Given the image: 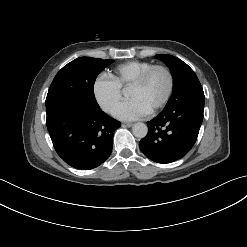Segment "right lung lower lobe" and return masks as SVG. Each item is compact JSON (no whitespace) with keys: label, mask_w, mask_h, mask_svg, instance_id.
I'll use <instances>...</instances> for the list:
<instances>
[{"label":"right lung lower lobe","mask_w":247,"mask_h":247,"mask_svg":"<svg viewBox=\"0 0 247 247\" xmlns=\"http://www.w3.org/2000/svg\"><path fill=\"white\" fill-rule=\"evenodd\" d=\"M46 115L53 146L66 163L90 170L108 159L114 131L121 124L99 106L63 100L46 107Z\"/></svg>","instance_id":"right-lung-lower-lobe-1"}]
</instances>
